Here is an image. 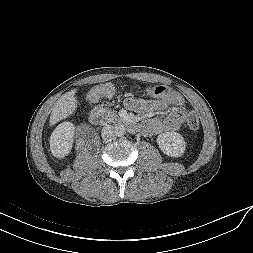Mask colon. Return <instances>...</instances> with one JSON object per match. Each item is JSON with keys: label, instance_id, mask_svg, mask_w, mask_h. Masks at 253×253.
<instances>
[{"label": "colon", "instance_id": "obj_1", "mask_svg": "<svg viewBox=\"0 0 253 253\" xmlns=\"http://www.w3.org/2000/svg\"><path fill=\"white\" fill-rule=\"evenodd\" d=\"M114 86L112 84H106L97 87L89 92V99L91 101L98 100L101 96L111 95L114 93ZM147 93L152 96H160L169 92V88L164 85H155L147 88ZM186 124L191 130H197L199 128V116L196 112H190L186 117Z\"/></svg>", "mask_w": 253, "mask_h": 253}]
</instances>
